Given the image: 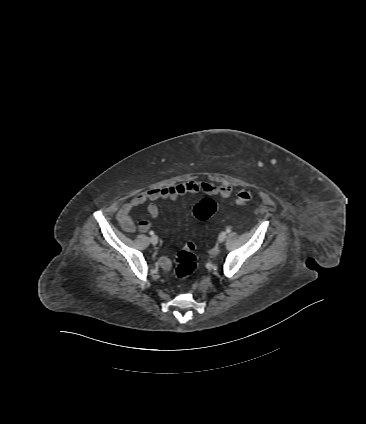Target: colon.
Returning a JSON list of instances; mask_svg holds the SVG:
<instances>
[{
	"label": "colon",
	"mask_w": 366,
	"mask_h": 424,
	"mask_svg": "<svg viewBox=\"0 0 366 424\" xmlns=\"http://www.w3.org/2000/svg\"><path fill=\"white\" fill-rule=\"evenodd\" d=\"M252 198V193L247 188H242L236 199V204L239 206L245 205ZM216 211V203L205 198L198 202L193 208L194 216L199 220H206L211 217ZM195 245L192 242H187L176 257L175 275L178 279H186L196 270Z\"/></svg>",
	"instance_id": "obj_1"
}]
</instances>
